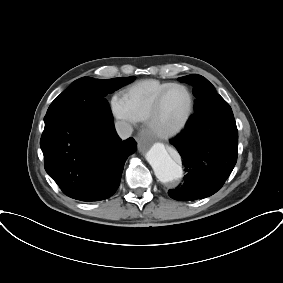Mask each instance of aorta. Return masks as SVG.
I'll return each instance as SVG.
<instances>
[{
  "label": "aorta",
  "instance_id": "obj_1",
  "mask_svg": "<svg viewBox=\"0 0 283 283\" xmlns=\"http://www.w3.org/2000/svg\"><path fill=\"white\" fill-rule=\"evenodd\" d=\"M146 159L154 170L156 177L162 182L167 183L182 177L183 170L168 153L165 146L155 143L146 153Z\"/></svg>",
  "mask_w": 283,
  "mask_h": 283
}]
</instances>
